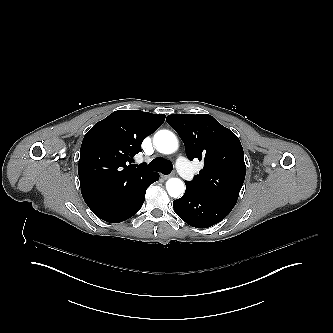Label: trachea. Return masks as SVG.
I'll list each match as a JSON object with an SVG mask.
<instances>
[{"label":"trachea","instance_id":"3493384b","mask_svg":"<svg viewBox=\"0 0 333 333\" xmlns=\"http://www.w3.org/2000/svg\"><path fill=\"white\" fill-rule=\"evenodd\" d=\"M147 168L168 175L173 170V164L162 158H155L147 165Z\"/></svg>","mask_w":333,"mask_h":333}]
</instances>
